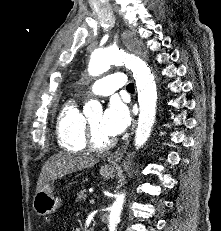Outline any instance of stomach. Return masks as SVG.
<instances>
[{"mask_svg":"<svg viewBox=\"0 0 221 231\" xmlns=\"http://www.w3.org/2000/svg\"><path fill=\"white\" fill-rule=\"evenodd\" d=\"M115 169L109 165L102 166L100 175L104 179H112L115 176ZM54 183L49 182L36 192L33 198V209L40 215L45 216L54 213L61 206V199L54 194Z\"/></svg>","mask_w":221,"mask_h":231,"instance_id":"0dacf381","label":"stomach"}]
</instances>
